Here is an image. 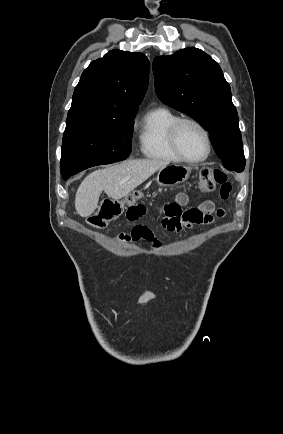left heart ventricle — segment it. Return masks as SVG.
<instances>
[{"mask_svg": "<svg viewBox=\"0 0 283 434\" xmlns=\"http://www.w3.org/2000/svg\"><path fill=\"white\" fill-rule=\"evenodd\" d=\"M178 143L183 154L191 159L200 158L206 152L204 135L195 125L190 123L180 127Z\"/></svg>", "mask_w": 283, "mask_h": 434, "instance_id": "obj_1", "label": "left heart ventricle"}]
</instances>
